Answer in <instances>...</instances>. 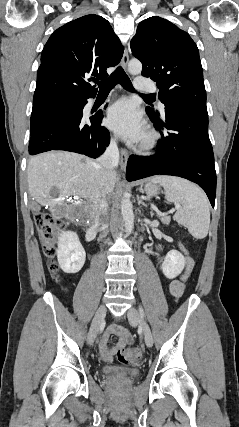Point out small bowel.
<instances>
[{
	"mask_svg": "<svg viewBox=\"0 0 239 427\" xmlns=\"http://www.w3.org/2000/svg\"><path fill=\"white\" fill-rule=\"evenodd\" d=\"M181 250L185 253V250L182 247H181ZM185 263H186V268L184 273L181 275V277L177 280L171 281L169 284V292L176 299L182 295L185 281L193 268V261L188 256H186L185 258ZM113 335L118 337V341L114 346L110 347L107 344V341L109 337ZM130 342H131V336L126 328L117 324L111 325L104 332L99 342V353L101 358L106 362H110L113 358V355L117 351L122 349L124 346L129 344Z\"/></svg>",
	"mask_w": 239,
	"mask_h": 427,
	"instance_id": "obj_1",
	"label": "small bowel"
}]
</instances>
